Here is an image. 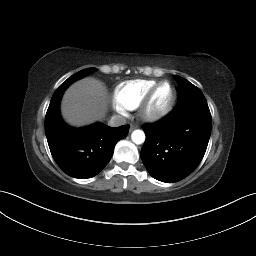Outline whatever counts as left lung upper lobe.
Here are the masks:
<instances>
[{"instance_id": "1", "label": "left lung upper lobe", "mask_w": 256, "mask_h": 256, "mask_svg": "<svg viewBox=\"0 0 256 256\" xmlns=\"http://www.w3.org/2000/svg\"><path fill=\"white\" fill-rule=\"evenodd\" d=\"M175 77L178 82L179 92L178 102L175 109L190 104H207L206 99L199 88L180 76L176 75Z\"/></svg>"}]
</instances>
